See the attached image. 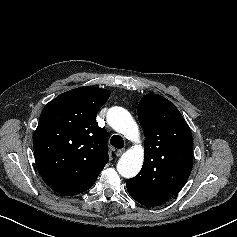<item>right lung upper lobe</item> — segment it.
<instances>
[{
    "instance_id": "cb5924a9",
    "label": "right lung upper lobe",
    "mask_w": 237,
    "mask_h": 237,
    "mask_svg": "<svg viewBox=\"0 0 237 237\" xmlns=\"http://www.w3.org/2000/svg\"><path fill=\"white\" fill-rule=\"evenodd\" d=\"M109 95L98 87H79L42 110L34 157L42 179L55 192L71 196L90 189L108 162L107 131L95 119Z\"/></svg>"
}]
</instances>
